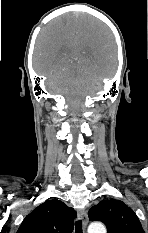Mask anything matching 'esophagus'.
<instances>
[{
	"label": "esophagus",
	"mask_w": 148,
	"mask_h": 233,
	"mask_svg": "<svg viewBox=\"0 0 148 233\" xmlns=\"http://www.w3.org/2000/svg\"><path fill=\"white\" fill-rule=\"evenodd\" d=\"M78 215H79L80 219L83 222L84 228H86L87 223H88V218H87L86 211L85 210H81V211H79Z\"/></svg>",
	"instance_id": "34e87169"
}]
</instances>
